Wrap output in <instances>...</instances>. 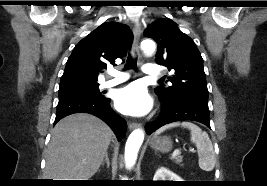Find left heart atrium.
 I'll return each instance as SVG.
<instances>
[{
    "mask_svg": "<svg viewBox=\"0 0 267 186\" xmlns=\"http://www.w3.org/2000/svg\"><path fill=\"white\" fill-rule=\"evenodd\" d=\"M114 99L116 108L121 113L137 117L146 115L153 103L147 89L139 82L118 89Z\"/></svg>",
    "mask_w": 267,
    "mask_h": 186,
    "instance_id": "obj_1",
    "label": "left heart atrium"
}]
</instances>
